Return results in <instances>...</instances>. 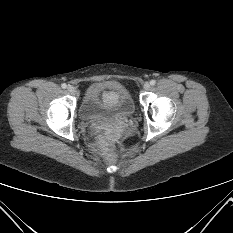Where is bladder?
Listing matches in <instances>:
<instances>
[{"label":"bladder","instance_id":"obj_1","mask_svg":"<svg viewBox=\"0 0 233 233\" xmlns=\"http://www.w3.org/2000/svg\"><path fill=\"white\" fill-rule=\"evenodd\" d=\"M135 110L134 100L125 85L116 80L93 82L85 91L79 114L86 120L127 115Z\"/></svg>","mask_w":233,"mask_h":233}]
</instances>
